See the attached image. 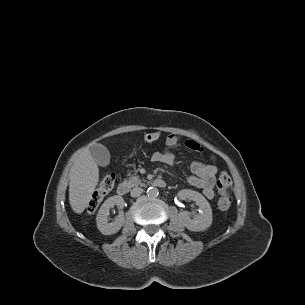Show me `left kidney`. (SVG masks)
Wrapping results in <instances>:
<instances>
[{
    "label": "left kidney",
    "instance_id": "obj_1",
    "mask_svg": "<svg viewBox=\"0 0 305 305\" xmlns=\"http://www.w3.org/2000/svg\"><path fill=\"white\" fill-rule=\"evenodd\" d=\"M178 198L181 200L189 199L196 203L199 207V213L195 214L193 218L190 213L182 211L178 214V220L190 231H204L212 224V209L206 198L199 192L183 189L178 192Z\"/></svg>",
    "mask_w": 305,
    "mask_h": 305
}]
</instances>
